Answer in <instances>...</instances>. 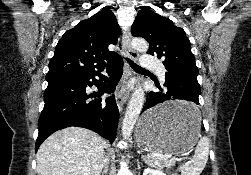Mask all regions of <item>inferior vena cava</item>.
I'll list each match as a JSON object with an SVG mask.
<instances>
[{
  "label": "inferior vena cava",
  "instance_id": "602c4592",
  "mask_svg": "<svg viewBox=\"0 0 251 175\" xmlns=\"http://www.w3.org/2000/svg\"><path fill=\"white\" fill-rule=\"evenodd\" d=\"M103 161H108V159H103Z\"/></svg>",
  "mask_w": 251,
  "mask_h": 175
}]
</instances>
